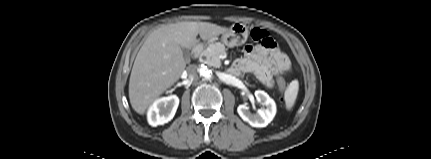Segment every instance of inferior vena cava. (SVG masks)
Instances as JSON below:
<instances>
[{"mask_svg":"<svg viewBox=\"0 0 431 159\" xmlns=\"http://www.w3.org/2000/svg\"><path fill=\"white\" fill-rule=\"evenodd\" d=\"M187 73L190 79H197L198 78V73H197V66L195 65H190L187 68Z\"/></svg>","mask_w":431,"mask_h":159,"instance_id":"602c4592","label":"inferior vena cava"}]
</instances>
